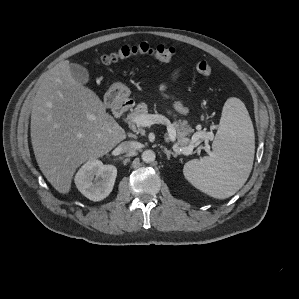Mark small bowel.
<instances>
[{"label":"small bowel","mask_w":299,"mask_h":299,"mask_svg":"<svg viewBox=\"0 0 299 299\" xmlns=\"http://www.w3.org/2000/svg\"><path fill=\"white\" fill-rule=\"evenodd\" d=\"M177 75H178V71H175L173 76L176 77ZM166 89H167V86L165 84L160 85V90L162 92H165ZM175 108L181 114H185L187 112V109L181 103H176Z\"/></svg>","instance_id":"1"}]
</instances>
